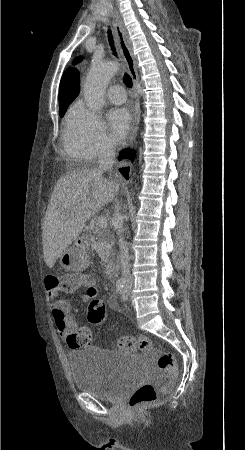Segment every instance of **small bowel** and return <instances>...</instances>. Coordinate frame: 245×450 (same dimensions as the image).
Listing matches in <instances>:
<instances>
[{
  "label": "small bowel",
  "instance_id": "c3829d8e",
  "mask_svg": "<svg viewBox=\"0 0 245 450\" xmlns=\"http://www.w3.org/2000/svg\"><path fill=\"white\" fill-rule=\"evenodd\" d=\"M82 287L85 288L84 294L82 295L83 302H89L97 297L98 289L89 279H86L81 285L70 290H77ZM47 298L50 304L51 317L58 334L70 347H77L70 338V335L78 330V325L71 315L70 303L65 299L59 298L58 291L54 289L47 291ZM114 306V304H111V307Z\"/></svg>",
  "mask_w": 245,
  "mask_h": 450
}]
</instances>
